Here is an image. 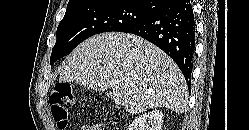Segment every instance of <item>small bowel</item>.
Returning <instances> with one entry per match:
<instances>
[{
    "mask_svg": "<svg viewBox=\"0 0 249 130\" xmlns=\"http://www.w3.org/2000/svg\"><path fill=\"white\" fill-rule=\"evenodd\" d=\"M81 130H104V125L102 124H91L85 125Z\"/></svg>",
    "mask_w": 249,
    "mask_h": 130,
    "instance_id": "small-bowel-1",
    "label": "small bowel"
}]
</instances>
